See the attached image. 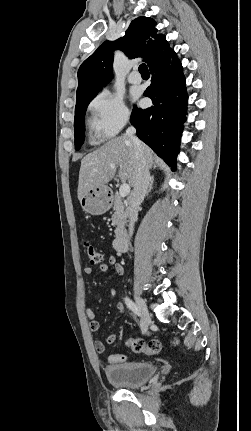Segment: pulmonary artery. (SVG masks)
I'll use <instances>...</instances> for the list:
<instances>
[{
  "mask_svg": "<svg viewBox=\"0 0 251 431\" xmlns=\"http://www.w3.org/2000/svg\"><path fill=\"white\" fill-rule=\"evenodd\" d=\"M141 80H142V78H141L140 74L138 73V71H136V70H133L128 75V81L132 84H138L141 82Z\"/></svg>",
  "mask_w": 251,
  "mask_h": 431,
  "instance_id": "1",
  "label": "pulmonary artery"
}]
</instances>
